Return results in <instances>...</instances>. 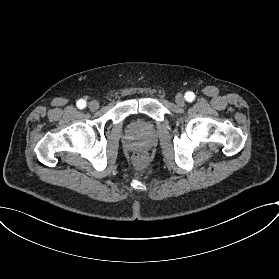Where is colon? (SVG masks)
Segmentation results:
<instances>
[{"label":"colon","mask_w":279,"mask_h":279,"mask_svg":"<svg viewBox=\"0 0 279 279\" xmlns=\"http://www.w3.org/2000/svg\"><path fill=\"white\" fill-rule=\"evenodd\" d=\"M131 166L134 171L138 173H143L148 170L150 166V161L147 156L143 154H138L133 157L131 161Z\"/></svg>","instance_id":"5ec220e1"}]
</instances>
